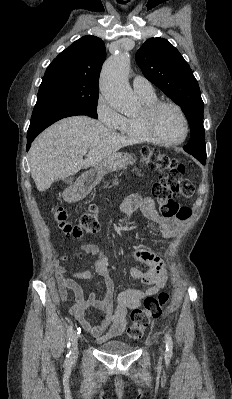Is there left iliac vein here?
<instances>
[{"mask_svg": "<svg viewBox=\"0 0 232 399\" xmlns=\"http://www.w3.org/2000/svg\"><path fill=\"white\" fill-rule=\"evenodd\" d=\"M159 350H160L161 353H164V352H165L164 344H163V343H160V344H159Z\"/></svg>", "mask_w": 232, "mask_h": 399, "instance_id": "obj_1", "label": "left iliac vein"}]
</instances>
